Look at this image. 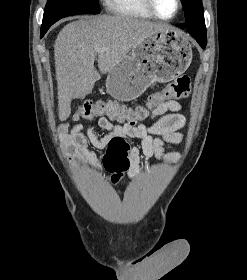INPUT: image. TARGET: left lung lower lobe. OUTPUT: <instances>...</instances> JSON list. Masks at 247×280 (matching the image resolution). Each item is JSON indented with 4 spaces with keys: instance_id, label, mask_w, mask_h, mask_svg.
<instances>
[{
    "instance_id": "left-lung-lower-lobe-1",
    "label": "left lung lower lobe",
    "mask_w": 247,
    "mask_h": 280,
    "mask_svg": "<svg viewBox=\"0 0 247 280\" xmlns=\"http://www.w3.org/2000/svg\"><path fill=\"white\" fill-rule=\"evenodd\" d=\"M179 27L182 28V29L185 28L182 24H180ZM188 32L196 38L197 42L199 43V45L202 48H205L206 43H207L206 36H200L198 33H196L195 31H192V30H188Z\"/></svg>"
}]
</instances>
